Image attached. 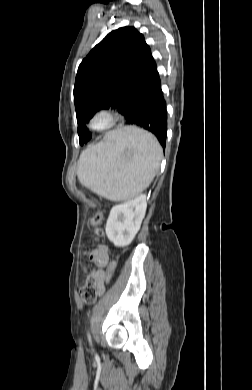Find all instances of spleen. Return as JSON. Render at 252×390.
Masks as SVG:
<instances>
[{
  "mask_svg": "<svg viewBox=\"0 0 252 390\" xmlns=\"http://www.w3.org/2000/svg\"><path fill=\"white\" fill-rule=\"evenodd\" d=\"M161 158V146L152 134L124 127L82 152L77 175L83 186L102 197L130 200L149 186Z\"/></svg>",
  "mask_w": 252,
  "mask_h": 390,
  "instance_id": "3e777b00",
  "label": "spleen"
}]
</instances>
